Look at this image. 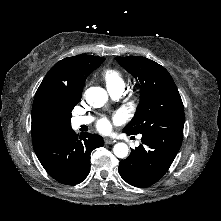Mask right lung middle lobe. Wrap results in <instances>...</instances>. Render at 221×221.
<instances>
[{"label": "right lung middle lobe", "mask_w": 221, "mask_h": 221, "mask_svg": "<svg viewBox=\"0 0 221 221\" xmlns=\"http://www.w3.org/2000/svg\"><path fill=\"white\" fill-rule=\"evenodd\" d=\"M79 101H74L72 102L69 106H68V109L66 111V114H65V119L67 121V123L70 125L71 124V121H70V118H71V110L75 107V105L78 103Z\"/></svg>", "instance_id": "dd1d6c3e"}]
</instances>
